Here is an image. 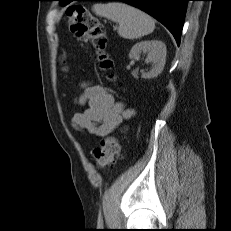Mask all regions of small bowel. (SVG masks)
Masks as SVG:
<instances>
[{
    "instance_id": "1",
    "label": "small bowel",
    "mask_w": 231,
    "mask_h": 231,
    "mask_svg": "<svg viewBox=\"0 0 231 231\" xmlns=\"http://www.w3.org/2000/svg\"><path fill=\"white\" fill-rule=\"evenodd\" d=\"M86 108L72 119L74 129L96 137L115 131L124 120L135 115V110L116 102L114 96L101 85L85 84L83 92L75 99Z\"/></svg>"
}]
</instances>
